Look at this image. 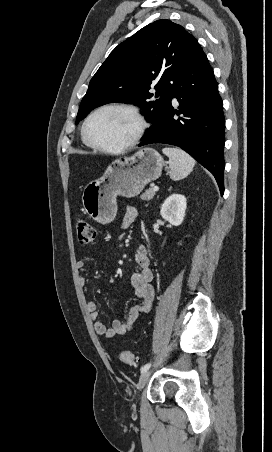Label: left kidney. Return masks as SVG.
Segmentation results:
<instances>
[{
  "label": "left kidney",
  "instance_id": "5707ae66",
  "mask_svg": "<svg viewBox=\"0 0 272 452\" xmlns=\"http://www.w3.org/2000/svg\"><path fill=\"white\" fill-rule=\"evenodd\" d=\"M187 203L182 194H171L162 204L160 214L163 219L171 225L179 226L182 224L185 216Z\"/></svg>",
  "mask_w": 272,
  "mask_h": 452
}]
</instances>
